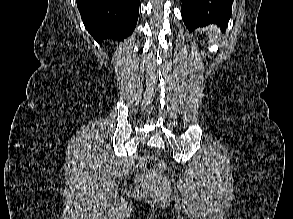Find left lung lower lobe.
<instances>
[{
	"mask_svg": "<svg viewBox=\"0 0 293 219\" xmlns=\"http://www.w3.org/2000/svg\"><path fill=\"white\" fill-rule=\"evenodd\" d=\"M232 3L233 0H182L181 15L190 31L210 23L224 30L231 17Z\"/></svg>",
	"mask_w": 293,
	"mask_h": 219,
	"instance_id": "1",
	"label": "left lung lower lobe"
}]
</instances>
